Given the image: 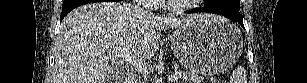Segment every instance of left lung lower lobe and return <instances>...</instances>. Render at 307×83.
<instances>
[{"instance_id":"0a47b994","label":"left lung lower lobe","mask_w":307,"mask_h":83,"mask_svg":"<svg viewBox=\"0 0 307 83\" xmlns=\"http://www.w3.org/2000/svg\"><path fill=\"white\" fill-rule=\"evenodd\" d=\"M198 12H208V13H217L225 16L231 21H237L243 28V19L240 12L234 11L231 7H222V8H213L209 4L205 3L204 7H199L190 10L188 13H198Z\"/></svg>"}]
</instances>
